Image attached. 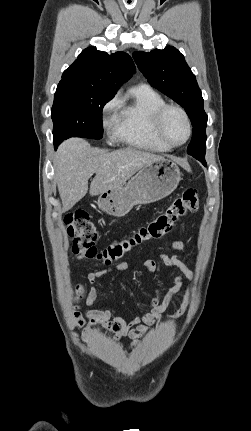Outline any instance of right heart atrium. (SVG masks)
I'll use <instances>...</instances> for the list:
<instances>
[{
    "label": "right heart atrium",
    "mask_w": 251,
    "mask_h": 431,
    "mask_svg": "<svg viewBox=\"0 0 251 431\" xmlns=\"http://www.w3.org/2000/svg\"><path fill=\"white\" fill-rule=\"evenodd\" d=\"M118 106H119V99L116 96L109 99L103 105L101 109V115H102V124L104 128L109 129L115 123V120H116L115 111Z\"/></svg>",
    "instance_id": "1"
}]
</instances>
